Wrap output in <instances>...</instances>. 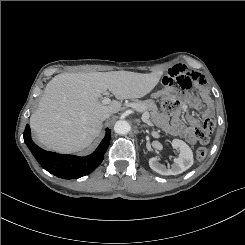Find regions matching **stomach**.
Instances as JSON below:
<instances>
[{"label": "stomach", "mask_w": 245, "mask_h": 245, "mask_svg": "<svg viewBox=\"0 0 245 245\" xmlns=\"http://www.w3.org/2000/svg\"><path fill=\"white\" fill-rule=\"evenodd\" d=\"M162 95L161 91L152 94V98H159Z\"/></svg>", "instance_id": "stomach-1"}]
</instances>
